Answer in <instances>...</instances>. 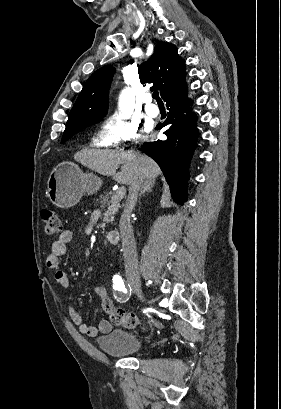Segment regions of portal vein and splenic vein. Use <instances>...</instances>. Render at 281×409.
<instances>
[{"label": "portal vein and splenic vein", "mask_w": 281, "mask_h": 409, "mask_svg": "<svg viewBox=\"0 0 281 409\" xmlns=\"http://www.w3.org/2000/svg\"><path fill=\"white\" fill-rule=\"evenodd\" d=\"M127 190V185L126 184H121L120 189L116 190V195L119 196L116 200L119 203H122L124 201V198L122 197L125 194V191ZM116 204V203H114Z\"/></svg>", "instance_id": "portal-vein-and-splenic-vein-1"}]
</instances>
